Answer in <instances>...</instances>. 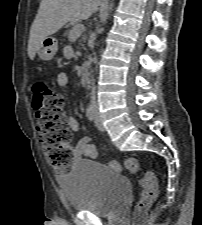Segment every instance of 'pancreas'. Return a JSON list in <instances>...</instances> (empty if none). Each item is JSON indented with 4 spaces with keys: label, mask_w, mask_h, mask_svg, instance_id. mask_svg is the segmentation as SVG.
I'll return each instance as SVG.
<instances>
[{
    "label": "pancreas",
    "mask_w": 202,
    "mask_h": 225,
    "mask_svg": "<svg viewBox=\"0 0 202 225\" xmlns=\"http://www.w3.org/2000/svg\"><path fill=\"white\" fill-rule=\"evenodd\" d=\"M70 33V32H69ZM69 33H66L65 35L69 37Z\"/></svg>",
    "instance_id": "1"
}]
</instances>
